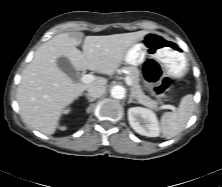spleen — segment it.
I'll return each mask as SVG.
<instances>
[{
    "label": "spleen",
    "mask_w": 222,
    "mask_h": 187,
    "mask_svg": "<svg viewBox=\"0 0 222 187\" xmlns=\"http://www.w3.org/2000/svg\"><path fill=\"white\" fill-rule=\"evenodd\" d=\"M194 106V96L188 94L181 99L175 111L165 112L161 117L162 136L171 139L178 135L192 116Z\"/></svg>",
    "instance_id": "spleen-1"
}]
</instances>
